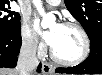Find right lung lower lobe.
Here are the masks:
<instances>
[{
    "label": "right lung lower lobe",
    "mask_w": 102,
    "mask_h": 75,
    "mask_svg": "<svg viewBox=\"0 0 102 75\" xmlns=\"http://www.w3.org/2000/svg\"><path fill=\"white\" fill-rule=\"evenodd\" d=\"M22 44L20 30L15 33L0 32V67L13 68ZM41 65L38 71L41 70Z\"/></svg>",
    "instance_id": "right-lung-lower-lobe-1"
}]
</instances>
